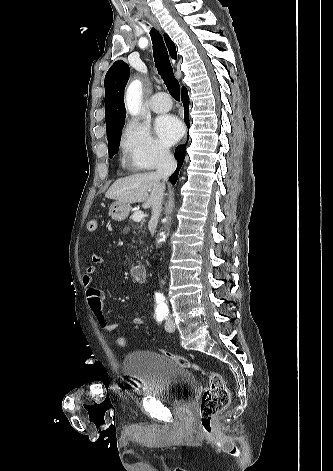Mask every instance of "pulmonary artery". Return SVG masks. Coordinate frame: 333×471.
Returning <instances> with one entry per match:
<instances>
[{
	"mask_svg": "<svg viewBox=\"0 0 333 471\" xmlns=\"http://www.w3.org/2000/svg\"><path fill=\"white\" fill-rule=\"evenodd\" d=\"M151 109L156 113H164L171 109L172 102L164 92L154 94L150 101Z\"/></svg>",
	"mask_w": 333,
	"mask_h": 471,
	"instance_id": "1",
	"label": "pulmonary artery"
}]
</instances>
